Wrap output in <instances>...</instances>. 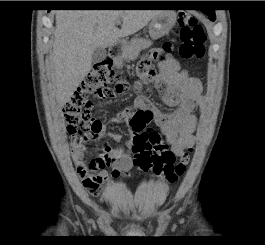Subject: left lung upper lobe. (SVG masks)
Listing matches in <instances>:
<instances>
[{
	"label": "left lung upper lobe",
	"instance_id": "5c2ea615",
	"mask_svg": "<svg viewBox=\"0 0 265 245\" xmlns=\"http://www.w3.org/2000/svg\"><path fill=\"white\" fill-rule=\"evenodd\" d=\"M209 16V15H208ZM215 20V15H214V17H213V21Z\"/></svg>",
	"mask_w": 265,
	"mask_h": 245
}]
</instances>
